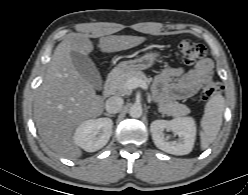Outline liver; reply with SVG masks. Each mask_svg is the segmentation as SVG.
Wrapping results in <instances>:
<instances>
[{
    "label": "liver",
    "mask_w": 248,
    "mask_h": 195,
    "mask_svg": "<svg viewBox=\"0 0 248 195\" xmlns=\"http://www.w3.org/2000/svg\"><path fill=\"white\" fill-rule=\"evenodd\" d=\"M145 37L111 35L99 39L102 52L131 49ZM93 44L86 34L71 33L58 44L46 76L34 100V120L45 144L60 156L77 158L82 155L75 144L73 132L84 121L102 114L104 102L94 86L75 69L71 52L88 55Z\"/></svg>",
    "instance_id": "liver-1"
}]
</instances>
